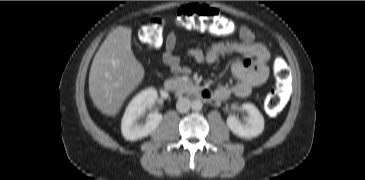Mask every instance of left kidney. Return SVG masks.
Here are the masks:
<instances>
[{
	"instance_id": "1",
	"label": "left kidney",
	"mask_w": 365,
	"mask_h": 180,
	"mask_svg": "<svg viewBox=\"0 0 365 180\" xmlns=\"http://www.w3.org/2000/svg\"><path fill=\"white\" fill-rule=\"evenodd\" d=\"M241 109L248 114L245 122L241 123L236 116L231 115L227 118L229 129L241 138L251 139L257 137L264 130V118L262 114L250 103L242 104Z\"/></svg>"
}]
</instances>
